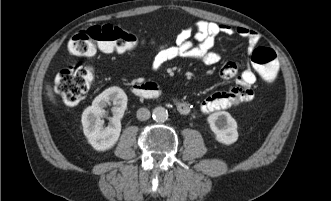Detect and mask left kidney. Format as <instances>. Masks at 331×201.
<instances>
[{"label":"left kidney","instance_id":"left-kidney-1","mask_svg":"<svg viewBox=\"0 0 331 201\" xmlns=\"http://www.w3.org/2000/svg\"><path fill=\"white\" fill-rule=\"evenodd\" d=\"M207 121L218 142L230 145L237 141V122L230 113L226 111L215 112L208 116Z\"/></svg>","mask_w":331,"mask_h":201}]
</instances>
